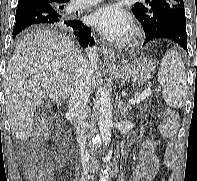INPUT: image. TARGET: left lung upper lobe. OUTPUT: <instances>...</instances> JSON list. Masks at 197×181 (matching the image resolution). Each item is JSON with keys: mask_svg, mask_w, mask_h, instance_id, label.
<instances>
[{"mask_svg": "<svg viewBox=\"0 0 197 181\" xmlns=\"http://www.w3.org/2000/svg\"><path fill=\"white\" fill-rule=\"evenodd\" d=\"M132 11L142 24L146 37L155 32L163 19L185 15L183 0H145V4L136 3Z\"/></svg>", "mask_w": 197, "mask_h": 181, "instance_id": "left-lung-upper-lobe-1", "label": "left lung upper lobe"}]
</instances>
